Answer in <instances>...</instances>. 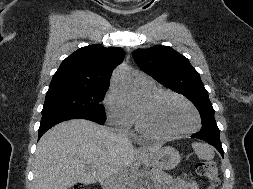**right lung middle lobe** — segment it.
Instances as JSON below:
<instances>
[{
  "mask_svg": "<svg viewBox=\"0 0 253 189\" xmlns=\"http://www.w3.org/2000/svg\"><path fill=\"white\" fill-rule=\"evenodd\" d=\"M109 87L102 86H63L50 88L42 115L77 114L91 116L105 121L104 106L101 104Z\"/></svg>",
  "mask_w": 253,
  "mask_h": 189,
  "instance_id": "right-lung-middle-lobe-1",
  "label": "right lung middle lobe"
}]
</instances>
